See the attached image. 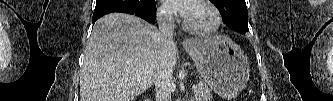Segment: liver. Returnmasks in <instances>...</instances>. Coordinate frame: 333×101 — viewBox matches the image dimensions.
Listing matches in <instances>:
<instances>
[{"instance_id": "obj_1", "label": "liver", "mask_w": 333, "mask_h": 101, "mask_svg": "<svg viewBox=\"0 0 333 101\" xmlns=\"http://www.w3.org/2000/svg\"><path fill=\"white\" fill-rule=\"evenodd\" d=\"M160 33L134 15L111 13L94 25L80 75V101H134L155 83ZM178 54L174 44L169 63Z\"/></svg>"}]
</instances>
